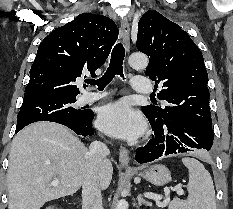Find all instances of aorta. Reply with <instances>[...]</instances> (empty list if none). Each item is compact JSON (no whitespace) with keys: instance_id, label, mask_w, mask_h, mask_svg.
Instances as JSON below:
<instances>
[{"instance_id":"obj_1","label":"aorta","mask_w":233,"mask_h":209,"mask_svg":"<svg viewBox=\"0 0 233 209\" xmlns=\"http://www.w3.org/2000/svg\"><path fill=\"white\" fill-rule=\"evenodd\" d=\"M129 65L134 69H144L148 65V58L144 54L135 53L129 57ZM129 205L126 200H120L115 209H128Z\"/></svg>"}]
</instances>
